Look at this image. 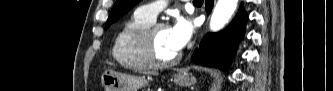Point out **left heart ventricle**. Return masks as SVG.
I'll use <instances>...</instances> for the list:
<instances>
[{
	"mask_svg": "<svg viewBox=\"0 0 333 91\" xmlns=\"http://www.w3.org/2000/svg\"><path fill=\"white\" fill-rule=\"evenodd\" d=\"M154 47L157 57L161 60H169L178 53L172 45L169 29L166 27L160 28L155 32Z\"/></svg>",
	"mask_w": 333,
	"mask_h": 91,
	"instance_id": "b2bd125f",
	"label": "left heart ventricle"
}]
</instances>
